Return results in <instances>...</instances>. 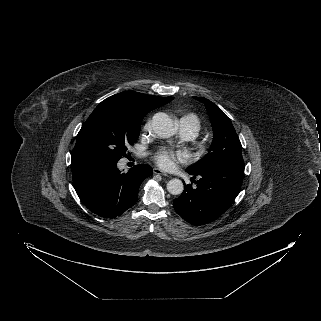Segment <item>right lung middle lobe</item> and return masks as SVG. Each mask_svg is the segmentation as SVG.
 <instances>
[{"label": "right lung middle lobe", "instance_id": "obj_1", "mask_svg": "<svg viewBox=\"0 0 321 321\" xmlns=\"http://www.w3.org/2000/svg\"><path fill=\"white\" fill-rule=\"evenodd\" d=\"M144 115L126 106L102 101L81 127L72 152V164L117 163L137 140Z\"/></svg>", "mask_w": 321, "mask_h": 321}]
</instances>
